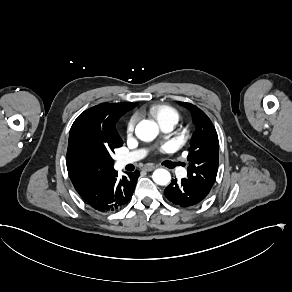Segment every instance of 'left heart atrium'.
Returning a JSON list of instances; mask_svg holds the SVG:
<instances>
[{
    "instance_id": "39dd6f15",
    "label": "left heart atrium",
    "mask_w": 292,
    "mask_h": 292,
    "mask_svg": "<svg viewBox=\"0 0 292 292\" xmlns=\"http://www.w3.org/2000/svg\"><path fill=\"white\" fill-rule=\"evenodd\" d=\"M163 150H164V151L168 150V145H165V146L163 147Z\"/></svg>"
}]
</instances>
